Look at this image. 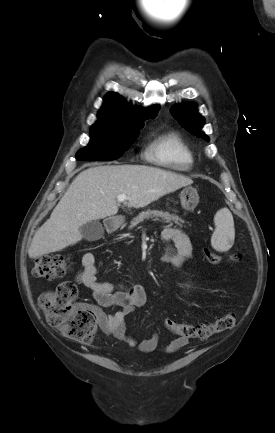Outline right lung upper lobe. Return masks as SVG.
Wrapping results in <instances>:
<instances>
[{
    "instance_id": "obj_1",
    "label": "right lung upper lobe",
    "mask_w": 275,
    "mask_h": 433,
    "mask_svg": "<svg viewBox=\"0 0 275 433\" xmlns=\"http://www.w3.org/2000/svg\"><path fill=\"white\" fill-rule=\"evenodd\" d=\"M160 106L155 105L147 108L146 110L137 109L127 105L117 94L114 92L108 94L104 98V105L99 111L98 124H131V123H144V119L154 118Z\"/></svg>"
}]
</instances>
